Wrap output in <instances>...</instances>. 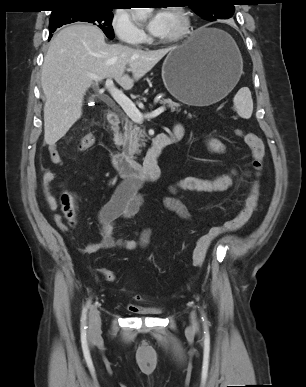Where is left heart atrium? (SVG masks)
Returning <instances> with one entry per match:
<instances>
[{
	"label": "left heart atrium",
	"mask_w": 306,
	"mask_h": 387,
	"mask_svg": "<svg viewBox=\"0 0 306 387\" xmlns=\"http://www.w3.org/2000/svg\"><path fill=\"white\" fill-rule=\"evenodd\" d=\"M148 30L156 37H161L166 29V13L164 11L156 13L148 22Z\"/></svg>",
	"instance_id": "1"
}]
</instances>
